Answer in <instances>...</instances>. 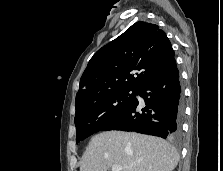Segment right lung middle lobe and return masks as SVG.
<instances>
[{
    "label": "right lung middle lobe",
    "mask_w": 223,
    "mask_h": 171,
    "mask_svg": "<svg viewBox=\"0 0 223 171\" xmlns=\"http://www.w3.org/2000/svg\"><path fill=\"white\" fill-rule=\"evenodd\" d=\"M129 92H115L76 109V143L118 119L135 99L136 91L132 94Z\"/></svg>",
    "instance_id": "dd1d6c3e"
}]
</instances>
